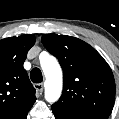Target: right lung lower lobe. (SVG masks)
Instances as JSON below:
<instances>
[{
	"mask_svg": "<svg viewBox=\"0 0 119 119\" xmlns=\"http://www.w3.org/2000/svg\"><path fill=\"white\" fill-rule=\"evenodd\" d=\"M30 109H31V108H30ZM30 109H29V110H30ZM29 110L25 111L20 117H17V119H26Z\"/></svg>",
	"mask_w": 119,
	"mask_h": 119,
	"instance_id": "98d812e1",
	"label": "right lung lower lobe"
}]
</instances>
